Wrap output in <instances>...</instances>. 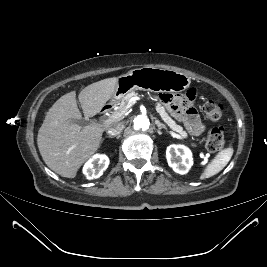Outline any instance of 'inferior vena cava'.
<instances>
[{
    "mask_svg": "<svg viewBox=\"0 0 267 267\" xmlns=\"http://www.w3.org/2000/svg\"><path fill=\"white\" fill-rule=\"evenodd\" d=\"M123 128H124V125L122 123L115 122L109 126L107 133L109 135L115 136V135L120 134Z\"/></svg>",
    "mask_w": 267,
    "mask_h": 267,
    "instance_id": "602c4592",
    "label": "inferior vena cava"
}]
</instances>
